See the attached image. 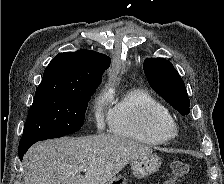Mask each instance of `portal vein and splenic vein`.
Masks as SVG:
<instances>
[{
	"instance_id": "1",
	"label": "portal vein and splenic vein",
	"mask_w": 224,
	"mask_h": 184,
	"mask_svg": "<svg viewBox=\"0 0 224 184\" xmlns=\"http://www.w3.org/2000/svg\"><path fill=\"white\" fill-rule=\"evenodd\" d=\"M79 170L85 171L86 169H85V167L81 166V167H79Z\"/></svg>"
}]
</instances>
